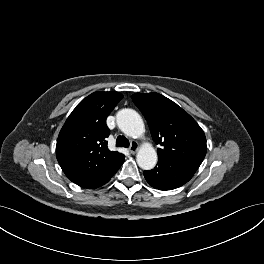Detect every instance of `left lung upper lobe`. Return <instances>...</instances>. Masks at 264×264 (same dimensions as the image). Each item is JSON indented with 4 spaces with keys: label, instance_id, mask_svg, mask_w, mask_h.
Here are the masks:
<instances>
[{
    "label": "left lung upper lobe",
    "instance_id": "left-lung-upper-lobe-1",
    "mask_svg": "<svg viewBox=\"0 0 264 264\" xmlns=\"http://www.w3.org/2000/svg\"><path fill=\"white\" fill-rule=\"evenodd\" d=\"M132 99L149 125L158 158L195 169L206 155V137L198 123L176 103L158 93H136Z\"/></svg>",
    "mask_w": 264,
    "mask_h": 264
}]
</instances>
